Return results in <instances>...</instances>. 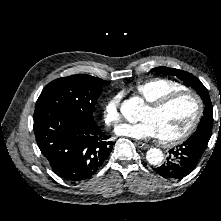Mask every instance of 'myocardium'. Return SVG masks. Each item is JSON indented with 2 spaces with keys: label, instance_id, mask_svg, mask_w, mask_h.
<instances>
[{
  "label": "myocardium",
  "instance_id": "myocardium-1",
  "mask_svg": "<svg viewBox=\"0 0 221 221\" xmlns=\"http://www.w3.org/2000/svg\"><path fill=\"white\" fill-rule=\"evenodd\" d=\"M182 97H190L193 99L196 105L195 115L192 121L190 122V124L188 125V127L181 134L175 137L169 138V139L159 138V142L165 146H174V145L180 144L186 141L194 133L203 115L204 106H203L202 99L197 93L191 90H181V91H176L173 93L166 94L160 97L159 99L147 104L148 109L156 112V111L162 110L163 108L168 106L170 103Z\"/></svg>",
  "mask_w": 221,
  "mask_h": 221
}]
</instances>
